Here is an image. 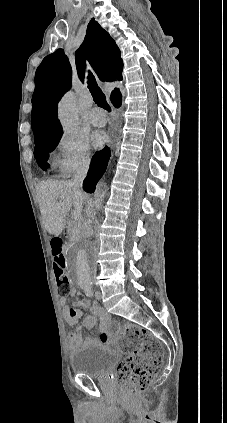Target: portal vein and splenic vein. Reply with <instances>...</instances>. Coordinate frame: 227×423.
<instances>
[{
    "label": "portal vein and splenic vein",
    "mask_w": 227,
    "mask_h": 423,
    "mask_svg": "<svg viewBox=\"0 0 227 423\" xmlns=\"http://www.w3.org/2000/svg\"><path fill=\"white\" fill-rule=\"evenodd\" d=\"M72 217H73V219H78V217H81V211L73 210L72 211Z\"/></svg>",
    "instance_id": "1"
}]
</instances>
